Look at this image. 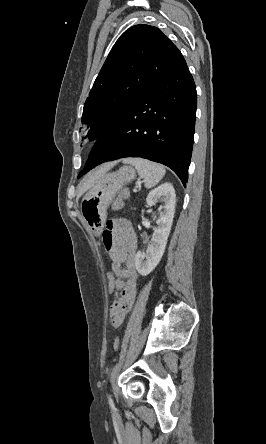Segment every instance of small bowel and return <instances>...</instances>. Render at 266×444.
Masks as SVG:
<instances>
[{"label":"small bowel","instance_id":"obj_1","mask_svg":"<svg viewBox=\"0 0 266 444\" xmlns=\"http://www.w3.org/2000/svg\"><path fill=\"white\" fill-rule=\"evenodd\" d=\"M111 270L117 276V288L110 307L109 320L113 327H119L131 310L137 292V272L134 257L137 238L129 221L114 219L107 223L102 235Z\"/></svg>","mask_w":266,"mask_h":444}]
</instances>
